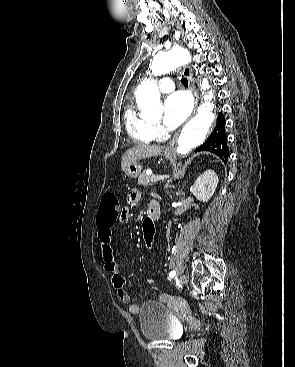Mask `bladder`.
Returning <instances> with one entry per match:
<instances>
[{
    "instance_id": "1",
    "label": "bladder",
    "mask_w": 295,
    "mask_h": 367,
    "mask_svg": "<svg viewBox=\"0 0 295 367\" xmlns=\"http://www.w3.org/2000/svg\"><path fill=\"white\" fill-rule=\"evenodd\" d=\"M142 336L150 341H175L182 335V326L169 309L160 302L147 301L139 310Z\"/></svg>"
}]
</instances>
